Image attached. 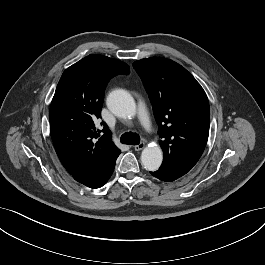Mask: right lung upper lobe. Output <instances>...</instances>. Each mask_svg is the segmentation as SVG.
<instances>
[{
    "label": "right lung upper lobe",
    "instance_id": "right-lung-upper-lobe-1",
    "mask_svg": "<svg viewBox=\"0 0 265 265\" xmlns=\"http://www.w3.org/2000/svg\"><path fill=\"white\" fill-rule=\"evenodd\" d=\"M129 72V66L119 60L91 54L62 74L50 107V133L60 161L73 177L120 152L106 124L101 123L100 136L94 121L101 117L109 80Z\"/></svg>",
    "mask_w": 265,
    "mask_h": 265
}]
</instances>
